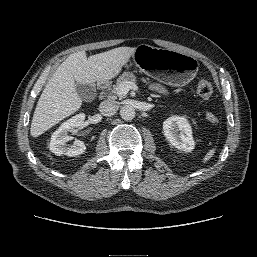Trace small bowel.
<instances>
[{
	"mask_svg": "<svg viewBox=\"0 0 257 257\" xmlns=\"http://www.w3.org/2000/svg\"><path fill=\"white\" fill-rule=\"evenodd\" d=\"M155 88H156L157 90H159V91H162V88H161L160 86H158V85H156Z\"/></svg>",
	"mask_w": 257,
	"mask_h": 257,
	"instance_id": "1",
	"label": "small bowel"
}]
</instances>
